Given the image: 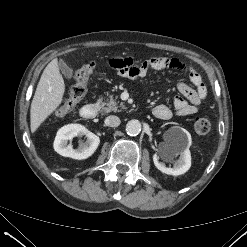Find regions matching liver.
Listing matches in <instances>:
<instances>
[{"instance_id": "liver-1", "label": "liver", "mask_w": 247, "mask_h": 247, "mask_svg": "<svg viewBox=\"0 0 247 247\" xmlns=\"http://www.w3.org/2000/svg\"><path fill=\"white\" fill-rule=\"evenodd\" d=\"M64 92V79L60 74L57 59H53L44 69L31 103L30 128L32 133H35L48 116L59 107Z\"/></svg>"}]
</instances>
